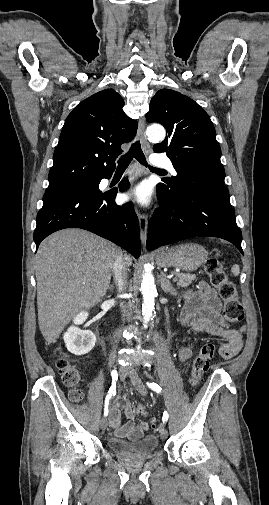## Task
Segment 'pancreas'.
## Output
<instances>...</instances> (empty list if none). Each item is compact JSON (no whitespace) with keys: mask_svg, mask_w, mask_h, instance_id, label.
<instances>
[{"mask_svg":"<svg viewBox=\"0 0 269 505\" xmlns=\"http://www.w3.org/2000/svg\"><path fill=\"white\" fill-rule=\"evenodd\" d=\"M175 278H177L178 287H187L195 280L196 276L192 274L175 273Z\"/></svg>","mask_w":269,"mask_h":505,"instance_id":"obj_1","label":"pancreas"}]
</instances>
